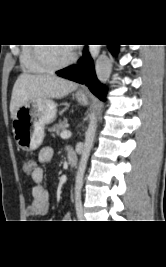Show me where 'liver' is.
Returning a JSON list of instances; mask_svg holds the SVG:
<instances>
[{"label": "liver", "instance_id": "liver-1", "mask_svg": "<svg viewBox=\"0 0 166 267\" xmlns=\"http://www.w3.org/2000/svg\"><path fill=\"white\" fill-rule=\"evenodd\" d=\"M74 82L55 75L21 74L17 78L10 101V114L13 119L17 110L37 98L61 99L76 90Z\"/></svg>", "mask_w": 166, "mask_h": 267}]
</instances>
